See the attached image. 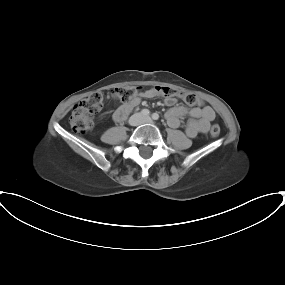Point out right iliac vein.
<instances>
[{"mask_svg": "<svg viewBox=\"0 0 285 285\" xmlns=\"http://www.w3.org/2000/svg\"><path fill=\"white\" fill-rule=\"evenodd\" d=\"M140 121H141V115L140 114H136L130 118V124L131 125H137L140 123Z\"/></svg>", "mask_w": 285, "mask_h": 285, "instance_id": "right-iliac-vein-1", "label": "right iliac vein"}]
</instances>
